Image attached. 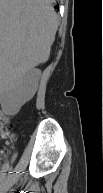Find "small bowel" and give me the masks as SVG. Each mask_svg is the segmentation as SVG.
I'll use <instances>...</instances> for the list:
<instances>
[{
	"mask_svg": "<svg viewBox=\"0 0 103 193\" xmlns=\"http://www.w3.org/2000/svg\"><path fill=\"white\" fill-rule=\"evenodd\" d=\"M7 124V118L6 117H3L2 118V125L4 126V125H6ZM13 137V134H12V132H11V137L10 138H8V139H11ZM4 170H5V168H3Z\"/></svg>",
	"mask_w": 103,
	"mask_h": 193,
	"instance_id": "small-bowel-1",
	"label": "small bowel"
}]
</instances>
